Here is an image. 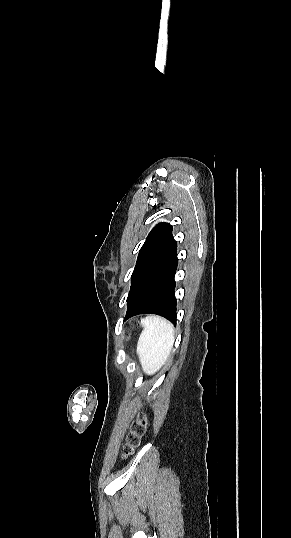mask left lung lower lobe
<instances>
[{"instance_id":"obj_1","label":"left lung lower lobe","mask_w":291,"mask_h":538,"mask_svg":"<svg viewBox=\"0 0 291 538\" xmlns=\"http://www.w3.org/2000/svg\"><path fill=\"white\" fill-rule=\"evenodd\" d=\"M177 242L156 258L140 276L127 299L125 320L138 314H157L174 324L177 321L175 272Z\"/></svg>"}]
</instances>
